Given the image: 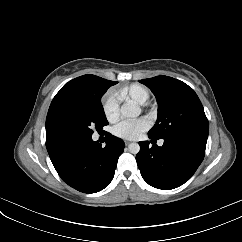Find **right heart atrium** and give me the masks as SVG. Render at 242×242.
Segmentation results:
<instances>
[{"label": "right heart atrium", "mask_w": 242, "mask_h": 242, "mask_svg": "<svg viewBox=\"0 0 242 242\" xmlns=\"http://www.w3.org/2000/svg\"><path fill=\"white\" fill-rule=\"evenodd\" d=\"M102 110L109 122H114L119 117V100L118 97L108 92L102 99Z\"/></svg>", "instance_id": "1"}]
</instances>
